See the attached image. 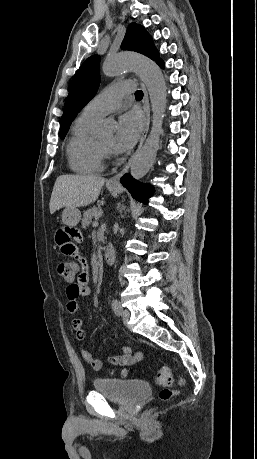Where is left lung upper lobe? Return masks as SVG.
I'll return each mask as SVG.
<instances>
[{
	"mask_svg": "<svg viewBox=\"0 0 257 459\" xmlns=\"http://www.w3.org/2000/svg\"><path fill=\"white\" fill-rule=\"evenodd\" d=\"M121 48L139 52L156 62L161 60L151 36L143 26L136 23H131L128 26ZM99 62L98 55H93L86 59L71 82L69 95L61 117L60 137L62 139L67 134L77 114L96 94L100 84Z\"/></svg>",
	"mask_w": 257,
	"mask_h": 459,
	"instance_id": "5c2ea615",
	"label": "left lung upper lobe"
}]
</instances>
